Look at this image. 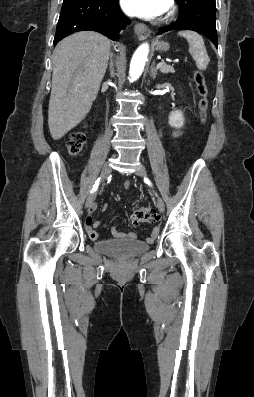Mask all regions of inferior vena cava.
<instances>
[{
  "label": "inferior vena cava",
  "instance_id": "obj_1",
  "mask_svg": "<svg viewBox=\"0 0 254 397\" xmlns=\"http://www.w3.org/2000/svg\"><path fill=\"white\" fill-rule=\"evenodd\" d=\"M110 74H111L112 77L114 76V69H113V63L112 62H111Z\"/></svg>",
  "mask_w": 254,
  "mask_h": 397
}]
</instances>
